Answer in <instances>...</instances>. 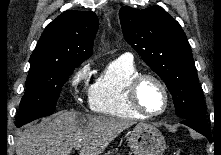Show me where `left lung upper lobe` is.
Returning <instances> with one entry per match:
<instances>
[{
    "mask_svg": "<svg viewBox=\"0 0 221 155\" xmlns=\"http://www.w3.org/2000/svg\"><path fill=\"white\" fill-rule=\"evenodd\" d=\"M119 17L126 41L165 82L176 114L183 120L206 121L191 47L179 23L159 6H124Z\"/></svg>",
    "mask_w": 221,
    "mask_h": 155,
    "instance_id": "5c2ea615",
    "label": "left lung upper lobe"
}]
</instances>
